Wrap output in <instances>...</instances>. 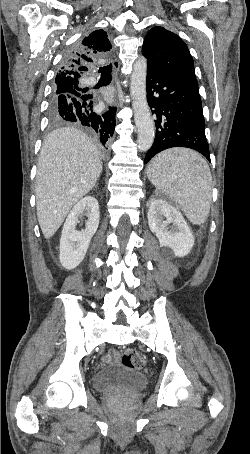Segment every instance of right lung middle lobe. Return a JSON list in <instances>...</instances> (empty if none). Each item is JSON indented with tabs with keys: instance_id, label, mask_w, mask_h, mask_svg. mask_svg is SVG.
Wrapping results in <instances>:
<instances>
[{
	"instance_id": "1",
	"label": "right lung middle lobe",
	"mask_w": 250,
	"mask_h": 454,
	"mask_svg": "<svg viewBox=\"0 0 250 454\" xmlns=\"http://www.w3.org/2000/svg\"><path fill=\"white\" fill-rule=\"evenodd\" d=\"M61 94H65L68 96V100L71 101L73 97L75 98H84L86 95L81 94V89L78 87V83H71V84H65V85H55L52 98H51V103H54L57 101L58 96ZM50 120L54 124H60L65 121H63L60 117L55 115L54 111L50 109L49 112Z\"/></svg>"
}]
</instances>
